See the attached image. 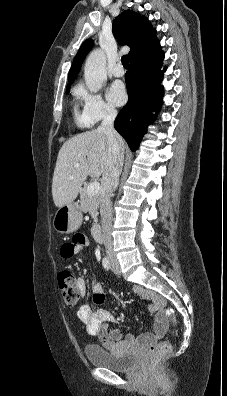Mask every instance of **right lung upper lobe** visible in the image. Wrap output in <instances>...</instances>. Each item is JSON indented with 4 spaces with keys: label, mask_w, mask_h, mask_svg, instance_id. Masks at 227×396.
<instances>
[{
    "label": "right lung upper lobe",
    "mask_w": 227,
    "mask_h": 396,
    "mask_svg": "<svg viewBox=\"0 0 227 396\" xmlns=\"http://www.w3.org/2000/svg\"><path fill=\"white\" fill-rule=\"evenodd\" d=\"M113 33L120 44H126L130 47V52L128 53L130 59L144 48L158 41L155 35L156 30L149 24L148 20L131 10H125L115 18ZM92 46L93 41L88 39L78 50L69 71L67 90H69L70 84L74 82L82 62Z\"/></svg>",
    "instance_id": "obj_1"
}]
</instances>
